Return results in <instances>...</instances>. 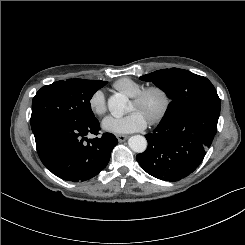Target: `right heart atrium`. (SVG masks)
I'll return each mask as SVG.
<instances>
[{
	"instance_id": "right-heart-atrium-1",
	"label": "right heart atrium",
	"mask_w": 245,
	"mask_h": 245,
	"mask_svg": "<svg viewBox=\"0 0 245 245\" xmlns=\"http://www.w3.org/2000/svg\"><path fill=\"white\" fill-rule=\"evenodd\" d=\"M89 108L95 115L101 116L106 110V98L102 90H96L89 98Z\"/></svg>"
}]
</instances>
